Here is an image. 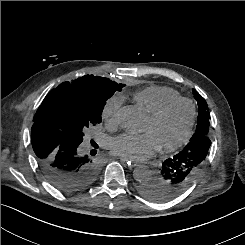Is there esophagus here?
<instances>
[{
    "mask_svg": "<svg viewBox=\"0 0 245 245\" xmlns=\"http://www.w3.org/2000/svg\"><path fill=\"white\" fill-rule=\"evenodd\" d=\"M120 161H121L122 163H124L125 166L128 167L129 169H133V168H135L136 166H138L137 163L133 162L132 160L123 158V157H120Z\"/></svg>",
    "mask_w": 245,
    "mask_h": 245,
    "instance_id": "1",
    "label": "esophagus"
}]
</instances>
